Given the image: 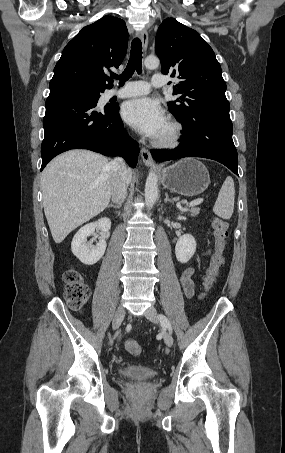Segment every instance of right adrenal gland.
I'll return each instance as SVG.
<instances>
[{"mask_svg":"<svg viewBox=\"0 0 285 453\" xmlns=\"http://www.w3.org/2000/svg\"><path fill=\"white\" fill-rule=\"evenodd\" d=\"M120 207H121V205H120V204H118V205H115V204H109V205L107 206V208H114V209H119Z\"/></svg>","mask_w":285,"mask_h":453,"instance_id":"1","label":"right adrenal gland"}]
</instances>
